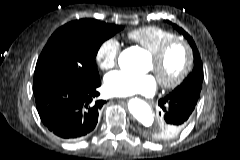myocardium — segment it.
Returning a JSON list of instances; mask_svg holds the SVG:
<instances>
[{
	"instance_id": "obj_1",
	"label": "myocardium",
	"mask_w": 240,
	"mask_h": 160,
	"mask_svg": "<svg viewBox=\"0 0 240 160\" xmlns=\"http://www.w3.org/2000/svg\"><path fill=\"white\" fill-rule=\"evenodd\" d=\"M176 46H180L184 50L185 62L181 71L171 81H163L157 78L160 86L166 90H173L179 87L186 80L193 66V50L186 40L180 38H173L164 43L156 52L151 54V59L155 67L158 68L165 62L170 51Z\"/></svg>"
}]
</instances>
